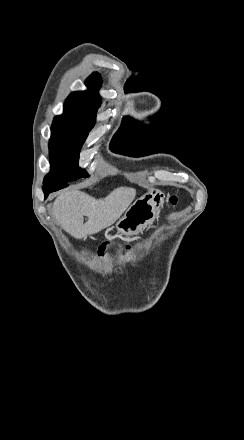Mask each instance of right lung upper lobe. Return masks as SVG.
<instances>
[{
  "mask_svg": "<svg viewBox=\"0 0 244 440\" xmlns=\"http://www.w3.org/2000/svg\"><path fill=\"white\" fill-rule=\"evenodd\" d=\"M89 90L86 92H73L66 99L64 107L76 109L97 110L100 106L101 97L97 93L101 85V77L99 74H92L86 81Z\"/></svg>",
  "mask_w": 244,
  "mask_h": 440,
  "instance_id": "cb5924a9",
  "label": "right lung upper lobe"
}]
</instances>
